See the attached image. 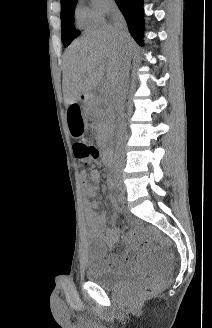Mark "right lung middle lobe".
<instances>
[{
	"label": "right lung middle lobe",
	"mask_w": 212,
	"mask_h": 328,
	"mask_svg": "<svg viewBox=\"0 0 212 328\" xmlns=\"http://www.w3.org/2000/svg\"><path fill=\"white\" fill-rule=\"evenodd\" d=\"M77 0H61L62 42L67 47L79 34L74 27V6Z\"/></svg>",
	"instance_id": "dd1d6c3e"
}]
</instances>
